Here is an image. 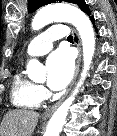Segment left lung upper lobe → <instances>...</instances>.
Masks as SVG:
<instances>
[{
  "mask_svg": "<svg viewBox=\"0 0 117 136\" xmlns=\"http://www.w3.org/2000/svg\"><path fill=\"white\" fill-rule=\"evenodd\" d=\"M52 2H54V0H28V12H34L40 6H43ZM65 2L77 4L88 15L91 14L87 4L83 0H65Z\"/></svg>",
  "mask_w": 117,
  "mask_h": 136,
  "instance_id": "5c2ea615",
  "label": "left lung upper lobe"
}]
</instances>
